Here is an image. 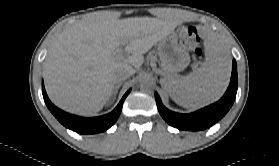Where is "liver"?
Masks as SVG:
<instances>
[{"label":"liver","instance_id":"liver-1","mask_svg":"<svg viewBox=\"0 0 279 166\" xmlns=\"http://www.w3.org/2000/svg\"><path fill=\"white\" fill-rule=\"evenodd\" d=\"M174 12L163 18L131 17L98 12L66 28L53 43L44 63V80L51 101L68 112L92 116L115 89V72L139 69L143 54L179 25ZM126 45L132 55L117 59L115 50Z\"/></svg>","mask_w":279,"mask_h":166}]
</instances>
